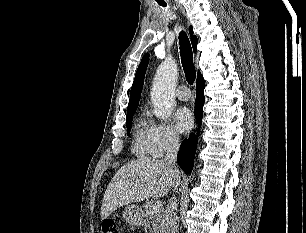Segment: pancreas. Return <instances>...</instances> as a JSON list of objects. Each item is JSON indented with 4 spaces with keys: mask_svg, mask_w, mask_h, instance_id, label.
Returning a JSON list of instances; mask_svg holds the SVG:
<instances>
[{
    "mask_svg": "<svg viewBox=\"0 0 306 233\" xmlns=\"http://www.w3.org/2000/svg\"><path fill=\"white\" fill-rule=\"evenodd\" d=\"M152 206L153 203L149 201L143 206L145 208L143 226L149 230V233H165L163 209L153 212Z\"/></svg>",
    "mask_w": 306,
    "mask_h": 233,
    "instance_id": "1",
    "label": "pancreas"
}]
</instances>
